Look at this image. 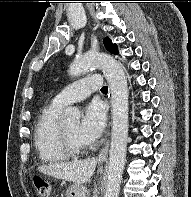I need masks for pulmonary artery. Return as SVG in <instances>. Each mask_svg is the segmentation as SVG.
<instances>
[{
  "label": "pulmonary artery",
  "instance_id": "e3ab8cb5",
  "mask_svg": "<svg viewBox=\"0 0 191 197\" xmlns=\"http://www.w3.org/2000/svg\"><path fill=\"white\" fill-rule=\"evenodd\" d=\"M101 86V77L99 75H91L66 86L53 98L52 102L60 107H65L85 99Z\"/></svg>",
  "mask_w": 191,
  "mask_h": 197
}]
</instances>
